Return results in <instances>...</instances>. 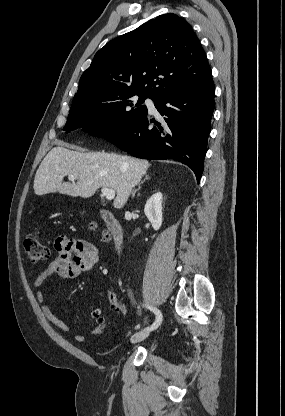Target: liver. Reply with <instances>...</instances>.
I'll return each mask as SVG.
<instances>
[{
	"mask_svg": "<svg viewBox=\"0 0 285 416\" xmlns=\"http://www.w3.org/2000/svg\"><path fill=\"white\" fill-rule=\"evenodd\" d=\"M55 144L57 148L48 152L36 172L33 186L36 196L59 192L73 198H91L98 188H112L117 194L113 206L120 210L150 166L147 160H136L131 156L105 152L85 154L73 152L79 150L77 146L64 142ZM69 174L76 176V184L62 182Z\"/></svg>",
	"mask_w": 285,
	"mask_h": 416,
	"instance_id": "1",
	"label": "liver"
}]
</instances>
